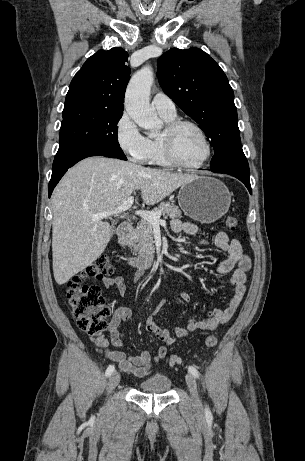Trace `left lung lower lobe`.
Returning a JSON list of instances; mask_svg holds the SVG:
<instances>
[{"label": "left lung lower lobe", "mask_w": 305, "mask_h": 461, "mask_svg": "<svg viewBox=\"0 0 305 461\" xmlns=\"http://www.w3.org/2000/svg\"><path fill=\"white\" fill-rule=\"evenodd\" d=\"M216 173H226V174H229L231 176L236 177L237 179H239L241 182H243L245 184V186L249 190L250 194H252V189H251V185H250V174L249 173H245V172H242V171H239V170H226V171H220V172H216Z\"/></svg>", "instance_id": "1"}]
</instances>
